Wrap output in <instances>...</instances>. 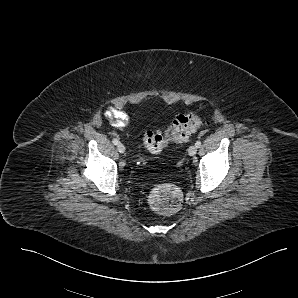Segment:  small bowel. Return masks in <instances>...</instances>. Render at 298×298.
<instances>
[{"mask_svg": "<svg viewBox=\"0 0 298 298\" xmlns=\"http://www.w3.org/2000/svg\"><path fill=\"white\" fill-rule=\"evenodd\" d=\"M105 117L113 126L119 128L125 127L129 120L128 114L119 108H110L105 112Z\"/></svg>", "mask_w": 298, "mask_h": 298, "instance_id": "c3829d8e", "label": "small bowel"}]
</instances>
